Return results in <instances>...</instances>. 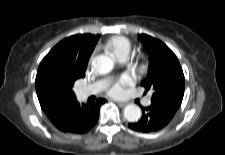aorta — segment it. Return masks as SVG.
<instances>
[{"instance_id": "obj_1", "label": "aorta", "mask_w": 225, "mask_h": 155, "mask_svg": "<svg viewBox=\"0 0 225 155\" xmlns=\"http://www.w3.org/2000/svg\"><path fill=\"white\" fill-rule=\"evenodd\" d=\"M92 66L99 74H107L114 68V62L106 55H98L93 59ZM124 117L129 122H137L141 118V109L129 104L124 108Z\"/></svg>"}]
</instances>
